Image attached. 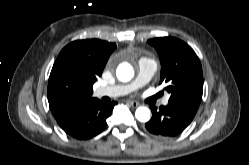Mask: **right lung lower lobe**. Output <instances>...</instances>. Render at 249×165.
<instances>
[{"instance_id": "right-lung-lower-lobe-1", "label": "right lung lower lobe", "mask_w": 249, "mask_h": 165, "mask_svg": "<svg viewBox=\"0 0 249 165\" xmlns=\"http://www.w3.org/2000/svg\"><path fill=\"white\" fill-rule=\"evenodd\" d=\"M116 102L104 103L98 99L75 105L54 115L59 126L70 136L86 140L98 135L106 127Z\"/></svg>"}]
</instances>
